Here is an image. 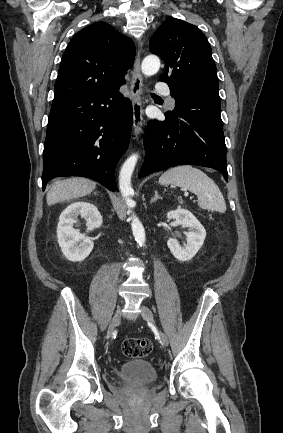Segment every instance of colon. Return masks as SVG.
I'll return each mask as SVG.
<instances>
[{"mask_svg": "<svg viewBox=\"0 0 283 433\" xmlns=\"http://www.w3.org/2000/svg\"><path fill=\"white\" fill-rule=\"evenodd\" d=\"M124 355L131 358H143L152 351V343L146 338H130L123 342Z\"/></svg>", "mask_w": 283, "mask_h": 433, "instance_id": "colon-1", "label": "colon"}]
</instances>
